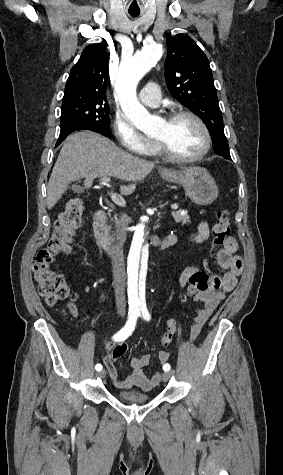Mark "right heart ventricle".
<instances>
[{"mask_svg": "<svg viewBox=\"0 0 283 475\" xmlns=\"http://www.w3.org/2000/svg\"><path fill=\"white\" fill-rule=\"evenodd\" d=\"M151 152H152V154H154V155H159V154H158V151H157V148H156V145H153Z\"/></svg>", "mask_w": 283, "mask_h": 475, "instance_id": "e07e8e85", "label": "right heart ventricle"}]
</instances>
